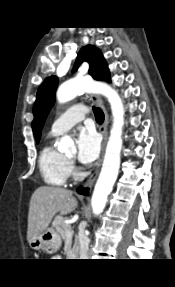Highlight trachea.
<instances>
[{
    "label": "trachea",
    "instance_id": "trachea-1",
    "mask_svg": "<svg viewBox=\"0 0 175 287\" xmlns=\"http://www.w3.org/2000/svg\"><path fill=\"white\" fill-rule=\"evenodd\" d=\"M95 119L98 123H102L104 121V113L100 108L93 107Z\"/></svg>",
    "mask_w": 175,
    "mask_h": 287
}]
</instances>
